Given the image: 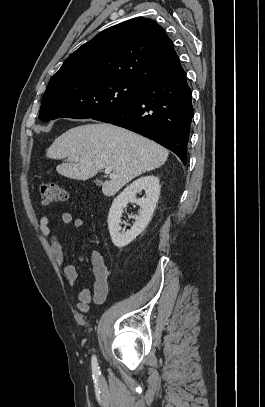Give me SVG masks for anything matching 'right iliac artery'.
Segmentation results:
<instances>
[{
    "label": "right iliac artery",
    "instance_id": "1",
    "mask_svg": "<svg viewBox=\"0 0 265 407\" xmlns=\"http://www.w3.org/2000/svg\"><path fill=\"white\" fill-rule=\"evenodd\" d=\"M92 370H93L94 372H98V371H99V367H98V363H97V359H96V356H95V355L92 357Z\"/></svg>",
    "mask_w": 265,
    "mask_h": 407
}]
</instances>
